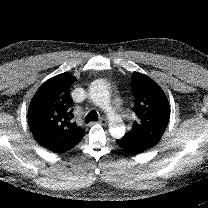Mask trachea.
Returning <instances> with one entry per match:
<instances>
[{"label":"trachea","mask_w":208,"mask_h":208,"mask_svg":"<svg viewBox=\"0 0 208 208\" xmlns=\"http://www.w3.org/2000/svg\"><path fill=\"white\" fill-rule=\"evenodd\" d=\"M97 119H98V114H97V112L94 111V110H91V111L87 114V116L85 117V122H86V123H89V122H91V121H97Z\"/></svg>","instance_id":"trachea-1"}]
</instances>
